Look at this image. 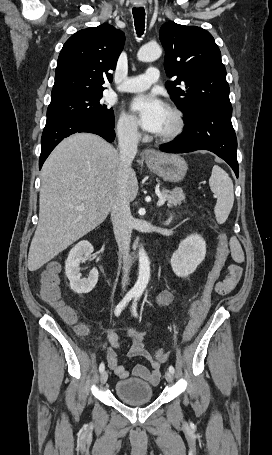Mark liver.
<instances>
[{"instance_id": "obj_1", "label": "liver", "mask_w": 272, "mask_h": 455, "mask_svg": "<svg viewBox=\"0 0 272 455\" xmlns=\"http://www.w3.org/2000/svg\"><path fill=\"white\" fill-rule=\"evenodd\" d=\"M119 165L116 149L90 133L71 135L52 151L41 171L39 222L28 254L31 272L107 218L118 192ZM137 193L131 169L126 182L129 202Z\"/></svg>"}]
</instances>
